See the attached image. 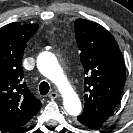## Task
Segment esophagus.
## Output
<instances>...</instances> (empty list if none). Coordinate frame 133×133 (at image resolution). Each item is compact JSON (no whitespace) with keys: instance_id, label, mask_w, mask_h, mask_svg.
<instances>
[{"instance_id":"34e87169","label":"esophagus","mask_w":133,"mask_h":133,"mask_svg":"<svg viewBox=\"0 0 133 133\" xmlns=\"http://www.w3.org/2000/svg\"><path fill=\"white\" fill-rule=\"evenodd\" d=\"M58 96H59V95H58L57 92H51V93L49 94V98H50V99H56Z\"/></svg>"}]
</instances>
